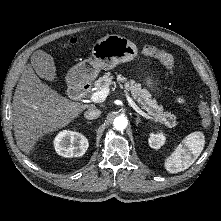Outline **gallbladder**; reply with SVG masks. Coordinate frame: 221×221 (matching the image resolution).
<instances>
[{"mask_svg":"<svg viewBox=\"0 0 221 221\" xmlns=\"http://www.w3.org/2000/svg\"><path fill=\"white\" fill-rule=\"evenodd\" d=\"M31 63L36 70V76L41 81H56L54 59L45 51H35L31 55Z\"/></svg>","mask_w":221,"mask_h":221,"instance_id":"bac80fb5","label":"gallbladder"}]
</instances>
